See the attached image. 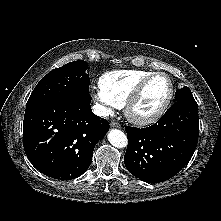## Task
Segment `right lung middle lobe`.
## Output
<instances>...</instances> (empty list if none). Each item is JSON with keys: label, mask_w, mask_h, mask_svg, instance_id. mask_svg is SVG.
I'll return each instance as SVG.
<instances>
[{"label": "right lung middle lobe", "mask_w": 221, "mask_h": 221, "mask_svg": "<svg viewBox=\"0 0 221 221\" xmlns=\"http://www.w3.org/2000/svg\"><path fill=\"white\" fill-rule=\"evenodd\" d=\"M87 68L88 64L79 60L52 70L36 85L26 108L51 102L72 104L85 98L90 81Z\"/></svg>", "instance_id": "1"}]
</instances>
